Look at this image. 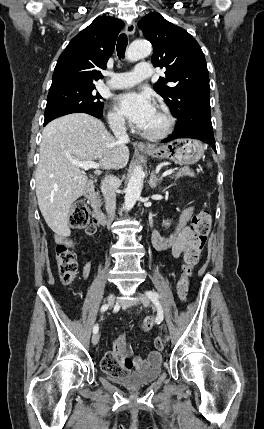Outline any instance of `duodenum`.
<instances>
[{
  "mask_svg": "<svg viewBox=\"0 0 264 429\" xmlns=\"http://www.w3.org/2000/svg\"><path fill=\"white\" fill-rule=\"evenodd\" d=\"M84 195L93 209L94 220L100 225H106L108 218L101 209V203L96 196L93 181L87 183Z\"/></svg>",
  "mask_w": 264,
  "mask_h": 429,
  "instance_id": "duodenum-1",
  "label": "duodenum"
}]
</instances>
